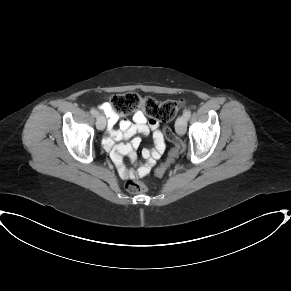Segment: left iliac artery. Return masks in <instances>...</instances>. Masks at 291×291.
<instances>
[{
    "label": "left iliac artery",
    "instance_id": "1",
    "mask_svg": "<svg viewBox=\"0 0 291 291\" xmlns=\"http://www.w3.org/2000/svg\"><path fill=\"white\" fill-rule=\"evenodd\" d=\"M191 116V110L190 109H186L184 111V117L187 118V120L190 118Z\"/></svg>",
    "mask_w": 291,
    "mask_h": 291
}]
</instances>
